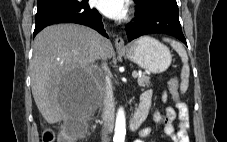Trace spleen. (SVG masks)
I'll list each match as a JSON object with an SVG mask.
<instances>
[{
  "label": "spleen",
  "instance_id": "obj_1",
  "mask_svg": "<svg viewBox=\"0 0 227 142\" xmlns=\"http://www.w3.org/2000/svg\"><path fill=\"white\" fill-rule=\"evenodd\" d=\"M164 41H167L171 44V46L174 48V50L179 54L181 57V60L183 62L182 70H181V84H180V90L182 93L186 92L189 86V75H190V68L188 65V56L185 51V48L183 45L179 42H176L174 40L170 39H164Z\"/></svg>",
  "mask_w": 227,
  "mask_h": 142
}]
</instances>
